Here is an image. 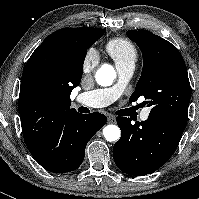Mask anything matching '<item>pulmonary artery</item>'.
<instances>
[{
	"instance_id": "1",
	"label": "pulmonary artery",
	"mask_w": 199,
	"mask_h": 199,
	"mask_svg": "<svg viewBox=\"0 0 199 199\" xmlns=\"http://www.w3.org/2000/svg\"><path fill=\"white\" fill-rule=\"evenodd\" d=\"M119 73V81L112 87L105 89L92 90L80 93L76 101L84 106L90 108L104 107L116 101L123 93L126 83L132 77L135 64L128 63L125 65L117 66ZM150 113L149 108H145L141 114L140 119L145 121L148 119Z\"/></svg>"
}]
</instances>
